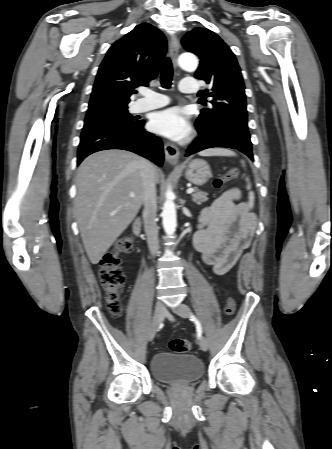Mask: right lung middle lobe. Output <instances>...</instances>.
Here are the masks:
<instances>
[{"label":"right lung middle lobe","instance_id":"1","mask_svg":"<svg viewBox=\"0 0 332 449\" xmlns=\"http://www.w3.org/2000/svg\"><path fill=\"white\" fill-rule=\"evenodd\" d=\"M139 122L140 121H136L135 118L128 112L127 107L120 109H103L87 112L83 131L100 127L125 129L132 127Z\"/></svg>","mask_w":332,"mask_h":449}]
</instances>
